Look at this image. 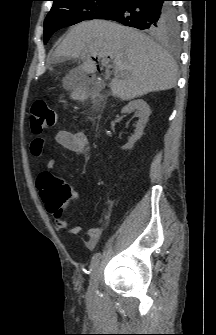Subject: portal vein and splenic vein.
<instances>
[{
    "instance_id": "portal-vein-and-splenic-vein-1",
    "label": "portal vein and splenic vein",
    "mask_w": 216,
    "mask_h": 335,
    "mask_svg": "<svg viewBox=\"0 0 216 335\" xmlns=\"http://www.w3.org/2000/svg\"><path fill=\"white\" fill-rule=\"evenodd\" d=\"M103 66H108L109 65V61L107 59H102L101 61Z\"/></svg>"
}]
</instances>
